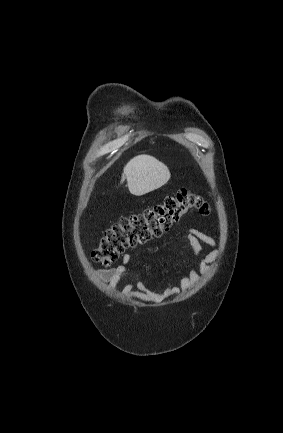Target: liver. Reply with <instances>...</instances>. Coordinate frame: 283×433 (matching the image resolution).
I'll return each mask as SVG.
<instances>
[{"label": "liver", "mask_w": 283, "mask_h": 433, "mask_svg": "<svg viewBox=\"0 0 283 433\" xmlns=\"http://www.w3.org/2000/svg\"><path fill=\"white\" fill-rule=\"evenodd\" d=\"M123 170L121 182L127 178L128 188L131 194L136 196L160 188L171 176L168 166L150 154L134 156L125 164Z\"/></svg>", "instance_id": "6515ba94"}]
</instances>
